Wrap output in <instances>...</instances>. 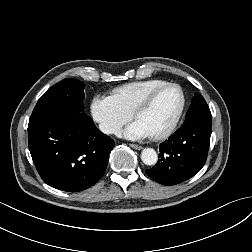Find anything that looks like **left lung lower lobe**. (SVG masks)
Returning <instances> with one entry per match:
<instances>
[{"mask_svg": "<svg viewBox=\"0 0 252 252\" xmlns=\"http://www.w3.org/2000/svg\"><path fill=\"white\" fill-rule=\"evenodd\" d=\"M212 121L196 120L183 124L159 146L160 159L146 173L156 182L167 186L193 177L207 159Z\"/></svg>", "mask_w": 252, "mask_h": 252, "instance_id": "left-lung-lower-lobe-1", "label": "left lung lower lobe"}]
</instances>
